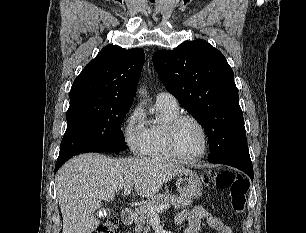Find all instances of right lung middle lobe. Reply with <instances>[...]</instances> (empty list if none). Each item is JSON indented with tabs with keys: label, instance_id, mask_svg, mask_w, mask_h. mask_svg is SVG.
Wrapping results in <instances>:
<instances>
[{
	"label": "right lung middle lobe",
	"instance_id": "1",
	"mask_svg": "<svg viewBox=\"0 0 306 233\" xmlns=\"http://www.w3.org/2000/svg\"><path fill=\"white\" fill-rule=\"evenodd\" d=\"M130 107L89 102L70 104L57 161L85 152L125 150L121 124Z\"/></svg>",
	"mask_w": 306,
	"mask_h": 233
}]
</instances>
